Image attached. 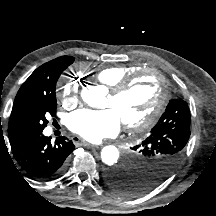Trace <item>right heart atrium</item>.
<instances>
[{
  "mask_svg": "<svg viewBox=\"0 0 216 216\" xmlns=\"http://www.w3.org/2000/svg\"><path fill=\"white\" fill-rule=\"evenodd\" d=\"M80 81L75 78L64 77L61 80L57 98L66 105L73 106L79 101Z\"/></svg>",
  "mask_w": 216,
  "mask_h": 216,
  "instance_id": "1",
  "label": "right heart atrium"
}]
</instances>
